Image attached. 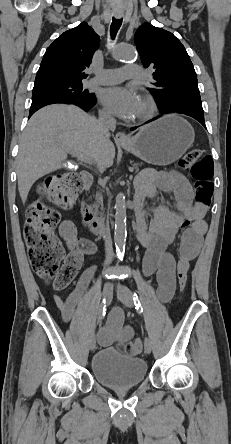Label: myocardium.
<instances>
[{
	"label": "myocardium",
	"instance_id": "obj_1",
	"mask_svg": "<svg viewBox=\"0 0 231 444\" xmlns=\"http://www.w3.org/2000/svg\"><path fill=\"white\" fill-rule=\"evenodd\" d=\"M140 101L143 105V110L139 114H137L135 119L137 121H146L151 119L157 111V106L155 101L151 96L147 94L142 95Z\"/></svg>",
	"mask_w": 231,
	"mask_h": 444
}]
</instances>
